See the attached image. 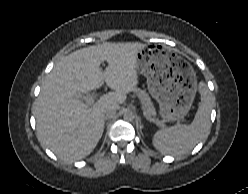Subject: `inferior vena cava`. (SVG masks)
I'll list each match as a JSON object with an SVG mask.
<instances>
[{"instance_id": "inferior-vena-cava-1", "label": "inferior vena cava", "mask_w": 248, "mask_h": 194, "mask_svg": "<svg viewBox=\"0 0 248 194\" xmlns=\"http://www.w3.org/2000/svg\"><path fill=\"white\" fill-rule=\"evenodd\" d=\"M116 114V109L115 108H109L105 111L104 113V119H111L115 116Z\"/></svg>"}]
</instances>
